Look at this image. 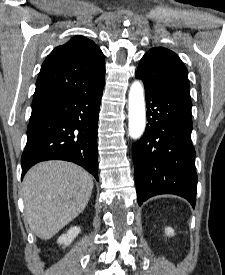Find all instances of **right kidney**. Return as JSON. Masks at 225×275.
I'll use <instances>...</instances> for the list:
<instances>
[{
    "instance_id": "1",
    "label": "right kidney",
    "mask_w": 225,
    "mask_h": 275,
    "mask_svg": "<svg viewBox=\"0 0 225 275\" xmlns=\"http://www.w3.org/2000/svg\"><path fill=\"white\" fill-rule=\"evenodd\" d=\"M79 232L80 228L77 226L70 228L66 234H63L58 238V243L63 244L64 246L70 245Z\"/></svg>"
}]
</instances>
